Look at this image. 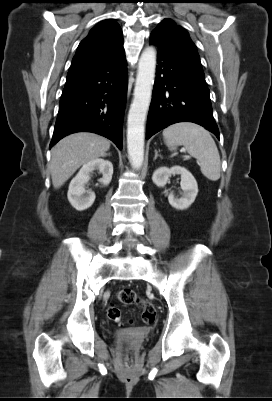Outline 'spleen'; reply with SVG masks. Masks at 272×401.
<instances>
[{
  "label": "spleen",
  "mask_w": 272,
  "mask_h": 401,
  "mask_svg": "<svg viewBox=\"0 0 272 401\" xmlns=\"http://www.w3.org/2000/svg\"><path fill=\"white\" fill-rule=\"evenodd\" d=\"M163 137L171 151L183 145L198 160L207 179L217 181L220 178V155L215 141L203 127L189 122L176 123L164 129Z\"/></svg>",
  "instance_id": "obj_1"
}]
</instances>
